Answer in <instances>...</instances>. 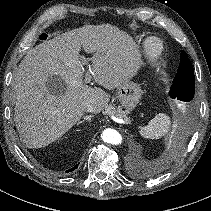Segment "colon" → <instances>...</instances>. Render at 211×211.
Segmentation results:
<instances>
[{"instance_id": "1", "label": "colon", "mask_w": 211, "mask_h": 211, "mask_svg": "<svg viewBox=\"0 0 211 211\" xmlns=\"http://www.w3.org/2000/svg\"><path fill=\"white\" fill-rule=\"evenodd\" d=\"M48 37H49V35H48V34H46V33H42V34L40 35L39 39H40L41 41H45V40H47V39H48Z\"/></svg>"}]
</instances>
